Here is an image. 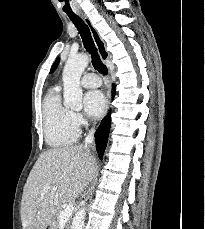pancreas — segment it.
I'll return each mask as SVG.
<instances>
[{"label": "pancreas", "mask_w": 205, "mask_h": 229, "mask_svg": "<svg viewBox=\"0 0 205 229\" xmlns=\"http://www.w3.org/2000/svg\"><path fill=\"white\" fill-rule=\"evenodd\" d=\"M61 211H62V209L59 208L57 210V212L55 213L54 221H53L50 229H59V215H60ZM66 229H69V224L66 225Z\"/></svg>", "instance_id": "cf45deb5"}]
</instances>
